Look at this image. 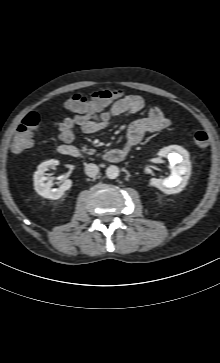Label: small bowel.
<instances>
[{
  "mask_svg": "<svg viewBox=\"0 0 220 363\" xmlns=\"http://www.w3.org/2000/svg\"><path fill=\"white\" fill-rule=\"evenodd\" d=\"M146 102L142 96L126 95L108 105H100L94 99H88L85 107L74 110V114L55 124L58 137L63 143H72L74 128L79 127L84 133L94 134L105 129L116 116L134 115L144 110ZM170 119L159 107H150L146 114L135 120L129 127L125 146L132 148L140 143L148 133L162 131L169 127Z\"/></svg>",
  "mask_w": 220,
  "mask_h": 363,
  "instance_id": "1",
  "label": "small bowel"
}]
</instances>
